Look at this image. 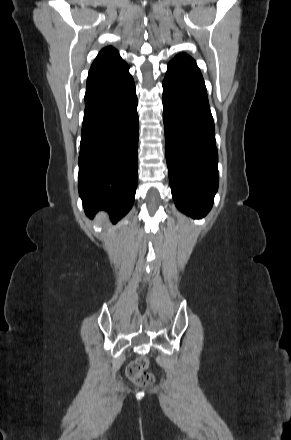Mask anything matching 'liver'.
Wrapping results in <instances>:
<instances>
[{"mask_svg":"<svg viewBox=\"0 0 291 440\" xmlns=\"http://www.w3.org/2000/svg\"><path fill=\"white\" fill-rule=\"evenodd\" d=\"M98 221H99L100 223H104V222H105V218H104V216H103V215H99V217H98Z\"/></svg>","mask_w":291,"mask_h":440,"instance_id":"obj_1","label":"liver"}]
</instances>
